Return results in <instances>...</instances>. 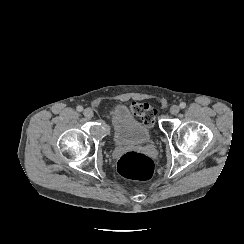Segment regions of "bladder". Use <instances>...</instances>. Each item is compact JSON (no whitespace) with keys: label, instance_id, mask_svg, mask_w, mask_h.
<instances>
[{"label":"bladder","instance_id":"1","mask_svg":"<svg viewBox=\"0 0 244 244\" xmlns=\"http://www.w3.org/2000/svg\"><path fill=\"white\" fill-rule=\"evenodd\" d=\"M112 117L115 119L112 138L116 144H150L152 139L150 131L146 130L142 122L130 113L127 106L123 104L115 106Z\"/></svg>","mask_w":244,"mask_h":244}]
</instances>
